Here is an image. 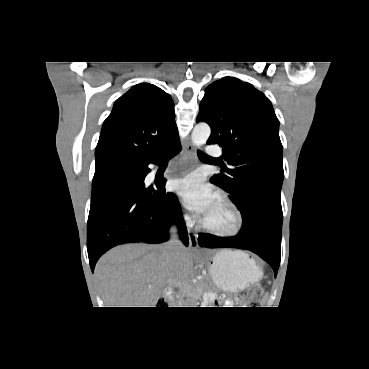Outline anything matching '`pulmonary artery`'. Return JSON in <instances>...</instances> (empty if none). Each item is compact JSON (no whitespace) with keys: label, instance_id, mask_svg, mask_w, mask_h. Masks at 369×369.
<instances>
[{"label":"pulmonary artery","instance_id":"1","mask_svg":"<svg viewBox=\"0 0 369 369\" xmlns=\"http://www.w3.org/2000/svg\"><path fill=\"white\" fill-rule=\"evenodd\" d=\"M207 154L213 157H219L221 155V150L217 146L210 145L207 147Z\"/></svg>","mask_w":369,"mask_h":369}]
</instances>
